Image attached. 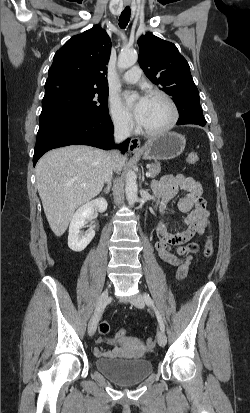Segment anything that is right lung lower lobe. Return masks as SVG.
<instances>
[{"mask_svg":"<svg viewBox=\"0 0 250 413\" xmlns=\"http://www.w3.org/2000/svg\"><path fill=\"white\" fill-rule=\"evenodd\" d=\"M114 127L108 115L62 114L39 125L33 164L47 151L67 145H89L101 149L119 148L128 150L130 139L115 145Z\"/></svg>","mask_w":250,"mask_h":413,"instance_id":"obj_1","label":"right lung lower lobe"}]
</instances>
